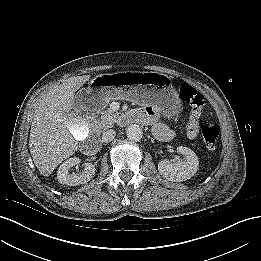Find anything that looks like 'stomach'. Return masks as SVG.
<instances>
[{
    "label": "stomach",
    "instance_id": "1",
    "mask_svg": "<svg viewBox=\"0 0 261 261\" xmlns=\"http://www.w3.org/2000/svg\"><path fill=\"white\" fill-rule=\"evenodd\" d=\"M85 90L89 94L86 111L95 113L109 100L126 99L146 105L156 103L162 110L177 111L180 100L169 76L157 72H118L96 76Z\"/></svg>",
    "mask_w": 261,
    "mask_h": 261
}]
</instances>
